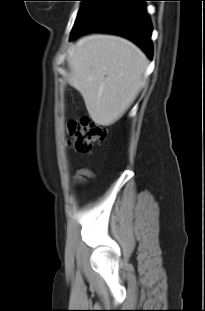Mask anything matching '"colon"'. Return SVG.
I'll use <instances>...</instances> for the list:
<instances>
[{
    "mask_svg": "<svg viewBox=\"0 0 205 311\" xmlns=\"http://www.w3.org/2000/svg\"><path fill=\"white\" fill-rule=\"evenodd\" d=\"M71 145L79 153L92 152L96 142L106 137V129L88 116H82L78 121L69 123Z\"/></svg>",
    "mask_w": 205,
    "mask_h": 311,
    "instance_id": "obj_1",
    "label": "colon"
}]
</instances>
